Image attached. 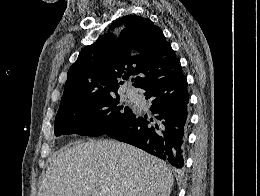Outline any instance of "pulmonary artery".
I'll use <instances>...</instances> for the list:
<instances>
[{
    "label": "pulmonary artery",
    "mask_w": 260,
    "mask_h": 196,
    "mask_svg": "<svg viewBox=\"0 0 260 196\" xmlns=\"http://www.w3.org/2000/svg\"><path fill=\"white\" fill-rule=\"evenodd\" d=\"M127 98H129L130 100L132 101H135L136 100V94L135 92H133L132 90H129L126 95H125Z\"/></svg>",
    "instance_id": "1"
}]
</instances>
